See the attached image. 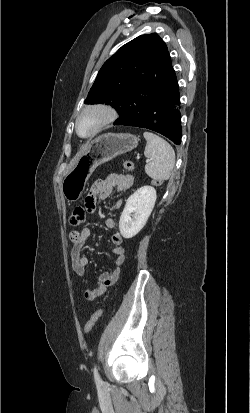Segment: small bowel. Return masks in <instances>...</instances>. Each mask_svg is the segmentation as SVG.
<instances>
[{
  "mask_svg": "<svg viewBox=\"0 0 250 413\" xmlns=\"http://www.w3.org/2000/svg\"><path fill=\"white\" fill-rule=\"evenodd\" d=\"M133 182L134 178L132 175L116 173L97 179L93 183L90 193H87L84 198V204L87 207L86 214H91L97 198L106 199L111 195L113 190L118 192L127 191L132 187ZM120 205L121 201H118L116 207H119ZM105 226L109 229H113L116 226V222L113 218H107L105 220ZM90 235L91 229L89 227H84L81 230H73L69 234V239L72 244L70 250L72 268L79 277L84 275L85 268L89 264V258L82 254V250L87 244ZM111 242L113 245L111 251L115 255V269L111 272H103L100 274L96 286L84 291L86 300L91 301L102 295L119 277L120 268L125 261L126 249L123 246V237L119 232H115L111 236Z\"/></svg>",
  "mask_w": 250,
  "mask_h": 413,
  "instance_id": "small-bowel-1",
  "label": "small bowel"
}]
</instances>
